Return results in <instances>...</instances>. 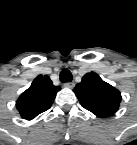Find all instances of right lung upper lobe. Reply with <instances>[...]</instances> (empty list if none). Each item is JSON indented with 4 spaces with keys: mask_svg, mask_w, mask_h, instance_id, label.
<instances>
[{
    "mask_svg": "<svg viewBox=\"0 0 137 145\" xmlns=\"http://www.w3.org/2000/svg\"><path fill=\"white\" fill-rule=\"evenodd\" d=\"M60 89V86L53 85L49 76L38 75L20 95L16 107L23 118L31 120L51 107Z\"/></svg>",
    "mask_w": 137,
    "mask_h": 145,
    "instance_id": "obj_1",
    "label": "right lung upper lobe"
}]
</instances>
